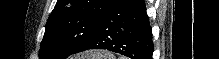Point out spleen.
I'll return each mask as SVG.
<instances>
[{
	"mask_svg": "<svg viewBox=\"0 0 219 59\" xmlns=\"http://www.w3.org/2000/svg\"><path fill=\"white\" fill-rule=\"evenodd\" d=\"M85 58H87V59H101V58L107 59L106 55H102L99 53H92V52L86 53Z\"/></svg>",
	"mask_w": 219,
	"mask_h": 59,
	"instance_id": "1",
	"label": "spleen"
}]
</instances>
